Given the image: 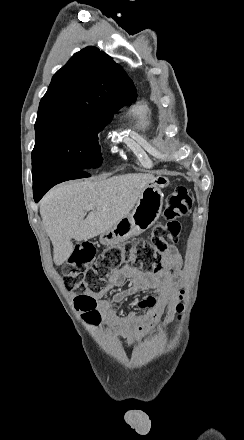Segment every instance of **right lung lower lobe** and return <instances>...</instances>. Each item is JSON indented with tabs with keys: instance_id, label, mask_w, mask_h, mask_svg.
I'll list each match as a JSON object with an SVG mask.
<instances>
[{
	"instance_id": "98d812e1",
	"label": "right lung lower lobe",
	"mask_w": 244,
	"mask_h": 440,
	"mask_svg": "<svg viewBox=\"0 0 244 440\" xmlns=\"http://www.w3.org/2000/svg\"><path fill=\"white\" fill-rule=\"evenodd\" d=\"M33 195L38 202L43 195L54 185L63 181L89 177L87 170L71 167L69 165H41L32 170Z\"/></svg>"
}]
</instances>
